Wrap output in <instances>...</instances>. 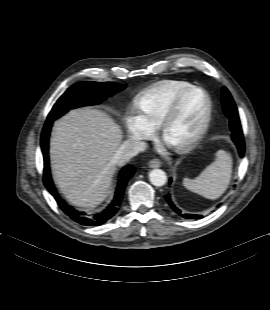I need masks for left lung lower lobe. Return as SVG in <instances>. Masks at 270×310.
I'll use <instances>...</instances> for the list:
<instances>
[{
	"label": "left lung lower lobe",
	"mask_w": 270,
	"mask_h": 310,
	"mask_svg": "<svg viewBox=\"0 0 270 310\" xmlns=\"http://www.w3.org/2000/svg\"><path fill=\"white\" fill-rule=\"evenodd\" d=\"M235 145L238 148L240 157L244 156V152H245V144H244V140L243 138H235L233 139ZM171 183V180H170ZM165 200L168 202V204L170 205V207L179 215H181L182 217L186 218V219H200L202 218L201 215H192V214H182L181 211L174 205V203L171 200V196L170 194H166L164 196Z\"/></svg>",
	"instance_id": "left-lung-lower-lobe-1"
}]
</instances>
